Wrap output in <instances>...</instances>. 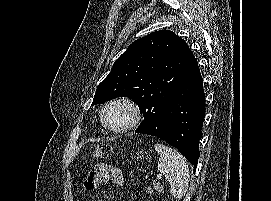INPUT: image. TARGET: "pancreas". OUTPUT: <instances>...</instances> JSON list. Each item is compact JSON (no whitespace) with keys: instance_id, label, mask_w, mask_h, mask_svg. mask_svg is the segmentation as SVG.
<instances>
[{"instance_id":"obj_1","label":"pancreas","mask_w":271,"mask_h":201,"mask_svg":"<svg viewBox=\"0 0 271 201\" xmlns=\"http://www.w3.org/2000/svg\"><path fill=\"white\" fill-rule=\"evenodd\" d=\"M153 185H154V189H158L159 192H162V191H163V187L160 186V183H155V182H154ZM147 191H148V192H153V189H152V188H148Z\"/></svg>"}]
</instances>
